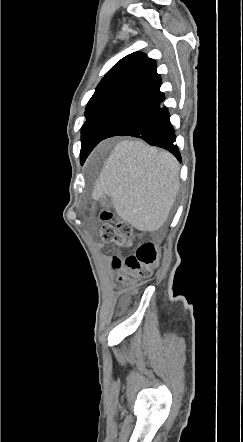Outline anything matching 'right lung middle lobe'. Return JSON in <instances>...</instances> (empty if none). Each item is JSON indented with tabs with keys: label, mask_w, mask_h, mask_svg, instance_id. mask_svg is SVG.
<instances>
[{
	"label": "right lung middle lobe",
	"mask_w": 243,
	"mask_h": 442,
	"mask_svg": "<svg viewBox=\"0 0 243 442\" xmlns=\"http://www.w3.org/2000/svg\"><path fill=\"white\" fill-rule=\"evenodd\" d=\"M125 96L106 95L90 99L85 110L86 122L81 128L82 156L89 144L91 136L106 114Z\"/></svg>",
	"instance_id": "dd1d6c3e"
}]
</instances>
